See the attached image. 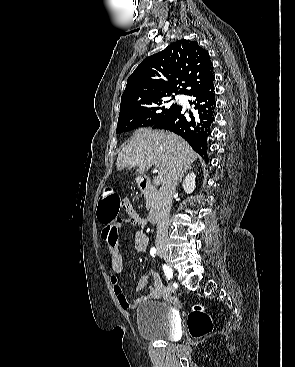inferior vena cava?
<instances>
[{
  "label": "inferior vena cava",
  "instance_id": "602c4592",
  "mask_svg": "<svg viewBox=\"0 0 295 367\" xmlns=\"http://www.w3.org/2000/svg\"><path fill=\"white\" fill-rule=\"evenodd\" d=\"M182 167L180 165L173 166L167 176L163 179L159 190L158 200V216H157V232L156 246L165 245L168 237L169 213L172 205V197L179 180Z\"/></svg>",
  "mask_w": 295,
  "mask_h": 367
}]
</instances>
